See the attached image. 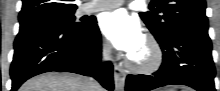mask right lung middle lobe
<instances>
[{
	"instance_id": "right-lung-middle-lobe-1",
	"label": "right lung middle lobe",
	"mask_w": 220,
	"mask_h": 91,
	"mask_svg": "<svg viewBox=\"0 0 220 91\" xmlns=\"http://www.w3.org/2000/svg\"><path fill=\"white\" fill-rule=\"evenodd\" d=\"M77 7H73L70 10L60 11V12H54L50 13L42 18H50L56 22H59L63 25L69 26L71 28H81L87 24V22H74L75 16L74 12Z\"/></svg>"
}]
</instances>
